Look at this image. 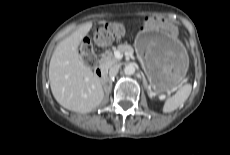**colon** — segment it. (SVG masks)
<instances>
[{"instance_id":"1","label":"colon","mask_w":230,"mask_h":155,"mask_svg":"<svg viewBox=\"0 0 230 155\" xmlns=\"http://www.w3.org/2000/svg\"><path fill=\"white\" fill-rule=\"evenodd\" d=\"M122 34L123 26L120 23H106L97 30L93 41L98 47H105L117 40ZM91 41V38L88 36L80 38V53L88 66H94L96 63V55Z\"/></svg>"}]
</instances>
